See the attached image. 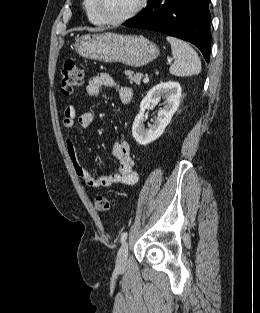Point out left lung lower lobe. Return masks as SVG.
I'll use <instances>...</instances> for the list:
<instances>
[{
	"mask_svg": "<svg viewBox=\"0 0 260 313\" xmlns=\"http://www.w3.org/2000/svg\"><path fill=\"white\" fill-rule=\"evenodd\" d=\"M209 0H149L127 27L165 33L197 46L206 61L211 50Z\"/></svg>",
	"mask_w": 260,
	"mask_h": 313,
	"instance_id": "0a47b994",
	"label": "left lung lower lobe"
}]
</instances>
